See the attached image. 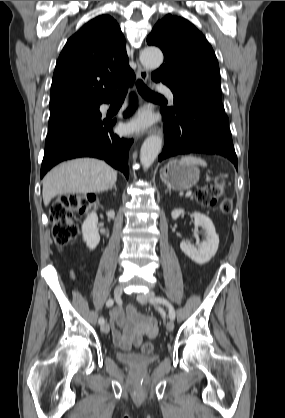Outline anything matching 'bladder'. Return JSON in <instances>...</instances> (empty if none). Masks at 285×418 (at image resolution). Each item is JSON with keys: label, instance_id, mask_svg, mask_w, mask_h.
I'll use <instances>...</instances> for the list:
<instances>
[{"label": "bladder", "instance_id": "bladder-1", "mask_svg": "<svg viewBox=\"0 0 285 418\" xmlns=\"http://www.w3.org/2000/svg\"><path fill=\"white\" fill-rule=\"evenodd\" d=\"M118 359L135 367H146L156 361V357L152 353H139L134 350H120Z\"/></svg>", "mask_w": 285, "mask_h": 418}]
</instances>
